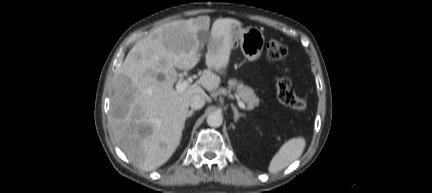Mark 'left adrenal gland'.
<instances>
[{
  "mask_svg": "<svg viewBox=\"0 0 432 193\" xmlns=\"http://www.w3.org/2000/svg\"><path fill=\"white\" fill-rule=\"evenodd\" d=\"M232 110L234 112V121H235V123L238 121V119L240 117H244V114L239 113L238 110H237V108L235 106H233V105H232Z\"/></svg>",
  "mask_w": 432,
  "mask_h": 193,
  "instance_id": "1",
  "label": "left adrenal gland"
}]
</instances>
